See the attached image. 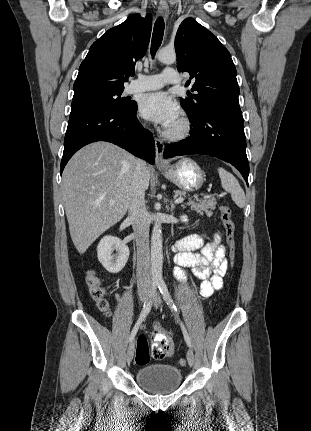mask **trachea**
I'll list each match as a JSON object with an SVG mask.
<instances>
[{
    "instance_id": "obj_1",
    "label": "trachea",
    "mask_w": 311,
    "mask_h": 431,
    "mask_svg": "<svg viewBox=\"0 0 311 431\" xmlns=\"http://www.w3.org/2000/svg\"><path fill=\"white\" fill-rule=\"evenodd\" d=\"M164 29H165V23H164L163 17H158V19L154 24V30L152 35V42H151L152 57H154V55L156 54L158 48L162 43Z\"/></svg>"
}]
</instances>
